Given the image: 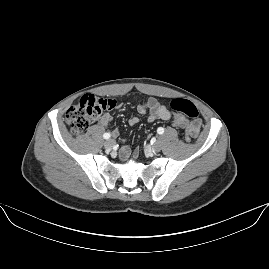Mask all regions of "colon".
I'll use <instances>...</instances> for the list:
<instances>
[{
    "instance_id": "colon-1",
    "label": "colon",
    "mask_w": 269,
    "mask_h": 269,
    "mask_svg": "<svg viewBox=\"0 0 269 269\" xmlns=\"http://www.w3.org/2000/svg\"><path fill=\"white\" fill-rule=\"evenodd\" d=\"M115 101L113 98H96L92 94L83 95L80 100L69 108L66 120L75 134H83L101 114L107 115ZM173 112L184 114L191 122L198 118V109L190 100L174 98L170 101ZM185 143L188 145L193 137L186 134Z\"/></svg>"
}]
</instances>
